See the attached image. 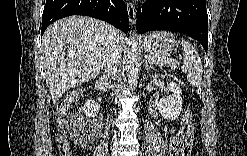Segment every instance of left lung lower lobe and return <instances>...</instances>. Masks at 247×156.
<instances>
[{"instance_id": "1", "label": "left lung lower lobe", "mask_w": 247, "mask_h": 156, "mask_svg": "<svg viewBox=\"0 0 247 156\" xmlns=\"http://www.w3.org/2000/svg\"><path fill=\"white\" fill-rule=\"evenodd\" d=\"M138 10L137 31L168 30L199 41L207 52L208 15L205 0H146Z\"/></svg>"}]
</instances>
